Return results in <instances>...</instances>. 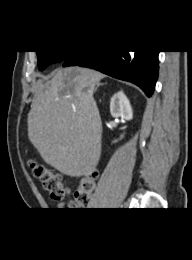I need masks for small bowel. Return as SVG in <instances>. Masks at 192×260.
Wrapping results in <instances>:
<instances>
[{
  "mask_svg": "<svg viewBox=\"0 0 192 260\" xmlns=\"http://www.w3.org/2000/svg\"><path fill=\"white\" fill-rule=\"evenodd\" d=\"M64 206H65V204H64L63 202H61V203L58 204V208H59V209H63Z\"/></svg>",
  "mask_w": 192,
  "mask_h": 260,
  "instance_id": "c3829d8e",
  "label": "small bowel"
}]
</instances>
